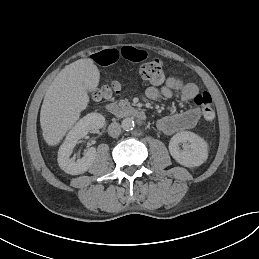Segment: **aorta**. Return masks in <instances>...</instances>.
Masks as SVG:
<instances>
[{"mask_svg":"<svg viewBox=\"0 0 259 259\" xmlns=\"http://www.w3.org/2000/svg\"><path fill=\"white\" fill-rule=\"evenodd\" d=\"M134 125V121L130 117L124 118L121 122V126L125 131H131L134 128Z\"/></svg>","mask_w":259,"mask_h":259,"instance_id":"762f6f07","label":"aorta"}]
</instances>
